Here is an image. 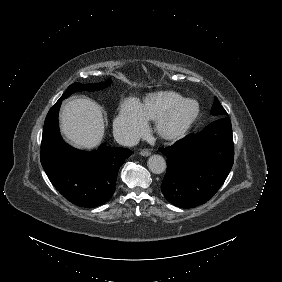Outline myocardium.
Masks as SVG:
<instances>
[{"label":"myocardium","instance_id":"obj_1","mask_svg":"<svg viewBox=\"0 0 282 282\" xmlns=\"http://www.w3.org/2000/svg\"><path fill=\"white\" fill-rule=\"evenodd\" d=\"M191 102L193 101L188 98H182L162 113L157 120V130L161 137L167 140L178 139L198 120V112L186 118L176 119L182 108Z\"/></svg>","mask_w":282,"mask_h":282}]
</instances>
